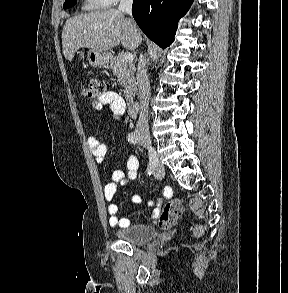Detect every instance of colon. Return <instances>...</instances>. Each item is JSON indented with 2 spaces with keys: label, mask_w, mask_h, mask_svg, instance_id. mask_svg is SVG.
I'll return each instance as SVG.
<instances>
[{
  "label": "colon",
  "mask_w": 288,
  "mask_h": 293,
  "mask_svg": "<svg viewBox=\"0 0 288 293\" xmlns=\"http://www.w3.org/2000/svg\"><path fill=\"white\" fill-rule=\"evenodd\" d=\"M107 92V83L104 80L92 78L88 81L87 85L83 88V94L87 98L93 100H99ZM183 205L181 200L172 199L169 200L162 210L160 211L157 221L161 228H170L178 220L182 213ZM196 236L203 234V228L201 225H196L194 228Z\"/></svg>",
  "instance_id": "1"
}]
</instances>
